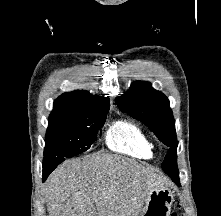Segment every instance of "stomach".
Here are the masks:
<instances>
[{
  "label": "stomach",
  "instance_id": "stomach-1",
  "mask_svg": "<svg viewBox=\"0 0 221 216\" xmlns=\"http://www.w3.org/2000/svg\"><path fill=\"white\" fill-rule=\"evenodd\" d=\"M174 195L167 187L152 190L146 201L140 216H169Z\"/></svg>",
  "mask_w": 221,
  "mask_h": 216
}]
</instances>
